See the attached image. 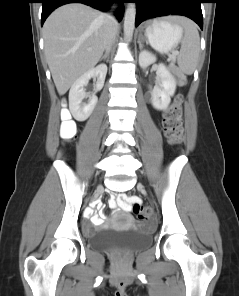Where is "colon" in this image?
Segmentation results:
<instances>
[{
	"instance_id": "1",
	"label": "colon",
	"mask_w": 239,
	"mask_h": 296,
	"mask_svg": "<svg viewBox=\"0 0 239 296\" xmlns=\"http://www.w3.org/2000/svg\"><path fill=\"white\" fill-rule=\"evenodd\" d=\"M62 135L63 138L69 140L75 135L74 123L69 119V115L63 114ZM164 129L166 136L172 144H177L181 141L183 133V109L182 96L178 95L173 101L170 108L165 112ZM131 211L138 220H147L152 217V210L142 204L135 202Z\"/></svg>"
}]
</instances>
